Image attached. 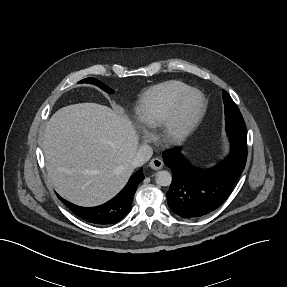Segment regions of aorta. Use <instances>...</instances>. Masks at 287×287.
I'll use <instances>...</instances> for the list:
<instances>
[{"mask_svg":"<svg viewBox=\"0 0 287 287\" xmlns=\"http://www.w3.org/2000/svg\"><path fill=\"white\" fill-rule=\"evenodd\" d=\"M156 183L160 186H169L172 182V176L168 171L161 170L156 173Z\"/></svg>","mask_w":287,"mask_h":287,"instance_id":"1","label":"aorta"}]
</instances>
